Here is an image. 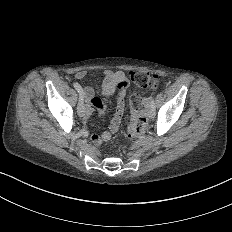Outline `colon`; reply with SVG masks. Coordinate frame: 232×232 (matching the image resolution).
<instances>
[{
  "mask_svg": "<svg viewBox=\"0 0 232 232\" xmlns=\"http://www.w3.org/2000/svg\"><path fill=\"white\" fill-rule=\"evenodd\" d=\"M157 75V71H134L131 73L130 78L132 81L139 83V86H150V91H159V86H153L157 81ZM156 97H161V92H156ZM129 100L132 102V123L126 130V136L129 140L136 141L143 135L147 126L148 107L135 94L130 95Z\"/></svg>",
  "mask_w": 232,
  "mask_h": 232,
  "instance_id": "obj_1",
  "label": "colon"
}]
</instances>
